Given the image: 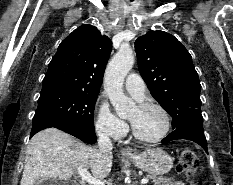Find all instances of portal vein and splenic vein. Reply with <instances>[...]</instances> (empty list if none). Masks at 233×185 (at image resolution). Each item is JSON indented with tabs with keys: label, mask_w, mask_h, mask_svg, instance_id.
Wrapping results in <instances>:
<instances>
[{
	"label": "portal vein and splenic vein",
	"mask_w": 233,
	"mask_h": 185,
	"mask_svg": "<svg viewBox=\"0 0 233 185\" xmlns=\"http://www.w3.org/2000/svg\"><path fill=\"white\" fill-rule=\"evenodd\" d=\"M78 174L80 175L82 181L88 182L90 185H104V182L93 177L86 168L84 167H79L77 169ZM149 182L148 178H143L141 180L142 184H147Z\"/></svg>",
	"instance_id": "portal-vein-and-splenic-vein-1"
}]
</instances>
